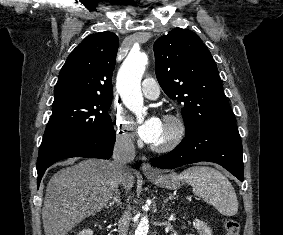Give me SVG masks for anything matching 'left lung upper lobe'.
Masks as SVG:
<instances>
[{
	"label": "left lung upper lobe",
	"mask_w": 283,
	"mask_h": 235,
	"mask_svg": "<svg viewBox=\"0 0 283 235\" xmlns=\"http://www.w3.org/2000/svg\"><path fill=\"white\" fill-rule=\"evenodd\" d=\"M154 54L160 86L183 107L186 135L236 124L216 63L194 32L173 29L155 41Z\"/></svg>",
	"instance_id": "obj_1"
}]
</instances>
